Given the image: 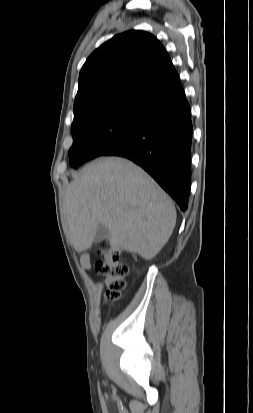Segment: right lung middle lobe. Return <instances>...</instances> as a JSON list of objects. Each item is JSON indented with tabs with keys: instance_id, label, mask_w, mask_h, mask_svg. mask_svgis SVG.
<instances>
[{
	"instance_id": "dd1d6c3e",
	"label": "right lung middle lobe",
	"mask_w": 253,
	"mask_h": 413,
	"mask_svg": "<svg viewBox=\"0 0 253 413\" xmlns=\"http://www.w3.org/2000/svg\"><path fill=\"white\" fill-rule=\"evenodd\" d=\"M150 113L131 107L100 109L73 120L69 162L74 168L101 156L147 122Z\"/></svg>"
}]
</instances>
